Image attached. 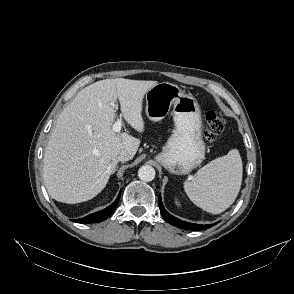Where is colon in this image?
I'll list each match as a JSON object with an SVG mask.
<instances>
[{"instance_id":"1","label":"colon","mask_w":294,"mask_h":294,"mask_svg":"<svg viewBox=\"0 0 294 294\" xmlns=\"http://www.w3.org/2000/svg\"><path fill=\"white\" fill-rule=\"evenodd\" d=\"M226 126L224 118L216 111H209L206 115L204 137L208 141L214 140Z\"/></svg>"}]
</instances>
